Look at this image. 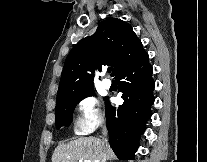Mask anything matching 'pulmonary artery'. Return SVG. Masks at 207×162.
Listing matches in <instances>:
<instances>
[{
  "label": "pulmonary artery",
  "mask_w": 207,
  "mask_h": 162,
  "mask_svg": "<svg viewBox=\"0 0 207 162\" xmlns=\"http://www.w3.org/2000/svg\"><path fill=\"white\" fill-rule=\"evenodd\" d=\"M102 85L105 89H110L112 86V83L109 79H104Z\"/></svg>",
  "instance_id": "obj_1"
}]
</instances>
